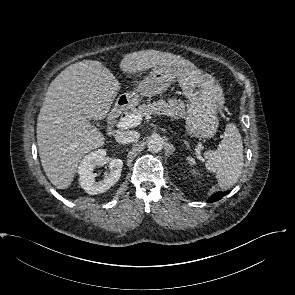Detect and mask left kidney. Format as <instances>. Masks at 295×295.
<instances>
[{
	"label": "left kidney",
	"instance_id": "5707ae66",
	"mask_svg": "<svg viewBox=\"0 0 295 295\" xmlns=\"http://www.w3.org/2000/svg\"><path fill=\"white\" fill-rule=\"evenodd\" d=\"M193 175L196 176L197 172L195 170H192Z\"/></svg>",
	"mask_w": 295,
	"mask_h": 295
}]
</instances>
